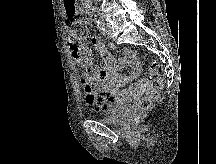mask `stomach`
Instances as JSON below:
<instances>
[{"instance_id": "obj_1", "label": "stomach", "mask_w": 216, "mask_h": 164, "mask_svg": "<svg viewBox=\"0 0 216 164\" xmlns=\"http://www.w3.org/2000/svg\"><path fill=\"white\" fill-rule=\"evenodd\" d=\"M65 3L66 20H79V0H63Z\"/></svg>"}]
</instances>
